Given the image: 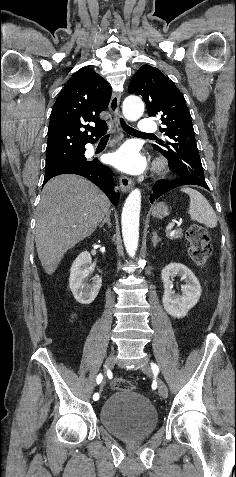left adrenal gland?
<instances>
[{
    "instance_id": "a2214340",
    "label": "left adrenal gland",
    "mask_w": 236,
    "mask_h": 477,
    "mask_svg": "<svg viewBox=\"0 0 236 477\" xmlns=\"http://www.w3.org/2000/svg\"><path fill=\"white\" fill-rule=\"evenodd\" d=\"M161 239L158 237L157 232L152 233V243L153 246L156 247L157 243L160 242Z\"/></svg>"
}]
</instances>
